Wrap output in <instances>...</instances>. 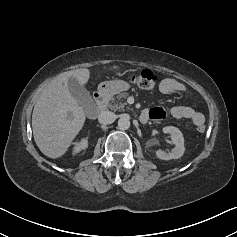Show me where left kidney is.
Segmentation results:
<instances>
[{
  "instance_id": "left-kidney-1",
  "label": "left kidney",
  "mask_w": 237,
  "mask_h": 237,
  "mask_svg": "<svg viewBox=\"0 0 237 237\" xmlns=\"http://www.w3.org/2000/svg\"><path fill=\"white\" fill-rule=\"evenodd\" d=\"M163 132L171 135V142L175 145V147L168 153L163 150L156 151L157 157L161 160H171L182 157L185 151L182 132L174 126L164 127Z\"/></svg>"
}]
</instances>
